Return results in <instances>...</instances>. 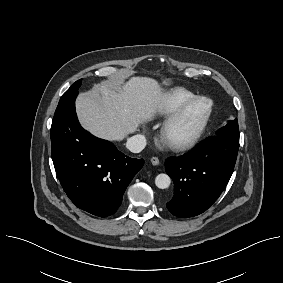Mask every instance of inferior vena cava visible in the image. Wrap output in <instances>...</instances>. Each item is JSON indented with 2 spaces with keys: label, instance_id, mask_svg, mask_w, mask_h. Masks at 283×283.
<instances>
[{
  "label": "inferior vena cava",
  "instance_id": "1",
  "mask_svg": "<svg viewBox=\"0 0 283 283\" xmlns=\"http://www.w3.org/2000/svg\"><path fill=\"white\" fill-rule=\"evenodd\" d=\"M146 146L144 135L137 134L127 140L126 147L133 153L141 152Z\"/></svg>",
  "mask_w": 283,
  "mask_h": 283
}]
</instances>
